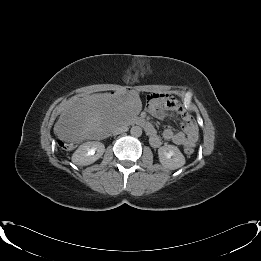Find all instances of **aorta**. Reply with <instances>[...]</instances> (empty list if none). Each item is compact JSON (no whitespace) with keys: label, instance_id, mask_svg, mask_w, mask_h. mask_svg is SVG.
Here are the masks:
<instances>
[{"label":"aorta","instance_id":"762f6f07","mask_svg":"<svg viewBox=\"0 0 261 261\" xmlns=\"http://www.w3.org/2000/svg\"><path fill=\"white\" fill-rule=\"evenodd\" d=\"M133 137H140L142 135V128L140 126H133L130 130Z\"/></svg>","mask_w":261,"mask_h":261}]
</instances>
